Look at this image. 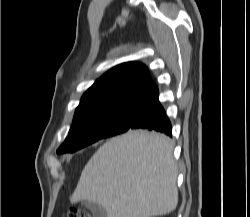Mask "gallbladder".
Listing matches in <instances>:
<instances>
[{"mask_svg": "<svg viewBox=\"0 0 250 217\" xmlns=\"http://www.w3.org/2000/svg\"><path fill=\"white\" fill-rule=\"evenodd\" d=\"M81 204L91 211L93 217H107L106 210L101 205L88 201H83Z\"/></svg>", "mask_w": 250, "mask_h": 217, "instance_id": "obj_1", "label": "gallbladder"}]
</instances>
